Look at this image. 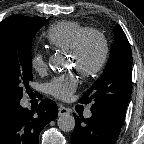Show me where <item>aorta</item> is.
<instances>
[{"label":"aorta","mask_w":144,"mask_h":144,"mask_svg":"<svg viewBox=\"0 0 144 144\" xmlns=\"http://www.w3.org/2000/svg\"><path fill=\"white\" fill-rule=\"evenodd\" d=\"M49 66L53 70L62 69L63 61L60 57H51ZM57 124L61 131L70 132L75 128V119L72 115L65 113L59 116Z\"/></svg>","instance_id":"762f6f07"}]
</instances>
